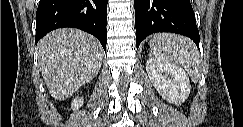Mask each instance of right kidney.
I'll return each mask as SVG.
<instances>
[{
    "label": "right kidney",
    "instance_id": "right-kidney-1",
    "mask_svg": "<svg viewBox=\"0 0 243 127\" xmlns=\"http://www.w3.org/2000/svg\"><path fill=\"white\" fill-rule=\"evenodd\" d=\"M84 103V99L81 97H76L71 103V108L75 111L78 110Z\"/></svg>",
    "mask_w": 243,
    "mask_h": 127
}]
</instances>
